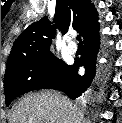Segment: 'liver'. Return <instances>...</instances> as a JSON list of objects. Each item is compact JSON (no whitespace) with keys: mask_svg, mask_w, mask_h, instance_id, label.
<instances>
[{"mask_svg":"<svg viewBox=\"0 0 122 123\" xmlns=\"http://www.w3.org/2000/svg\"><path fill=\"white\" fill-rule=\"evenodd\" d=\"M83 117L62 94L41 91L24 96L14 106L9 123H82Z\"/></svg>","mask_w":122,"mask_h":123,"instance_id":"liver-1","label":"liver"}]
</instances>
